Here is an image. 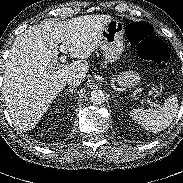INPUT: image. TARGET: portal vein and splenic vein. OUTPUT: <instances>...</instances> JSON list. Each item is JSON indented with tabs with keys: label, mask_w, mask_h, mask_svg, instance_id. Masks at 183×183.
<instances>
[{
	"label": "portal vein and splenic vein",
	"mask_w": 183,
	"mask_h": 183,
	"mask_svg": "<svg viewBox=\"0 0 183 183\" xmlns=\"http://www.w3.org/2000/svg\"><path fill=\"white\" fill-rule=\"evenodd\" d=\"M59 50L62 52V56L60 57V62L65 63L66 62V54H67V48L64 44L59 46ZM147 102L149 103L150 106H157L156 103L151 101L150 99L147 98Z\"/></svg>",
	"instance_id": "obj_1"
}]
</instances>
